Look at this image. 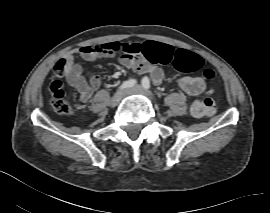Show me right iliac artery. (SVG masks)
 Listing matches in <instances>:
<instances>
[{
	"instance_id": "1",
	"label": "right iliac artery",
	"mask_w": 270,
	"mask_h": 213,
	"mask_svg": "<svg viewBox=\"0 0 270 213\" xmlns=\"http://www.w3.org/2000/svg\"><path fill=\"white\" fill-rule=\"evenodd\" d=\"M136 83H137V81L135 79H129V80L123 82L122 85L119 87V89L123 90V89L133 87Z\"/></svg>"
}]
</instances>
